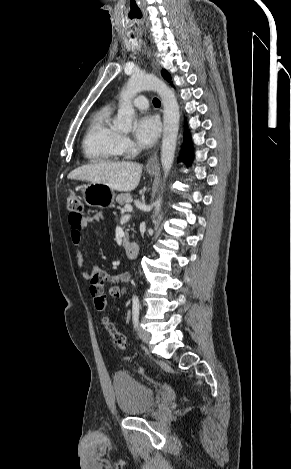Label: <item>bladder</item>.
Returning a JSON list of instances; mask_svg holds the SVG:
<instances>
[{"mask_svg": "<svg viewBox=\"0 0 291 469\" xmlns=\"http://www.w3.org/2000/svg\"><path fill=\"white\" fill-rule=\"evenodd\" d=\"M112 384L117 407L125 416L142 415L155 404L154 391L125 372H116Z\"/></svg>", "mask_w": 291, "mask_h": 469, "instance_id": "obj_1", "label": "bladder"}]
</instances>
